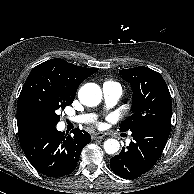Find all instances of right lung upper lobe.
I'll list each match as a JSON object with an SVG mask.
<instances>
[{"label": "right lung upper lobe", "instance_id": "cb5924a9", "mask_svg": "<svg viewBox=\"0 0 194 194\" xmlns=\"http://www.w3.org/2000/svg\"><path fill=\"white\" fill-rule=\"evenodd\" d=\"M97 70L98 68H84L58 58L39 64L31 71L28 78L34 74H44L65 91L75 96L80 83ZM17 125L18 134L39 127L25 116L19 103L17 104Z\"/></svg>", "mask_w": 194, "mask_h": 194}]
</instances>
